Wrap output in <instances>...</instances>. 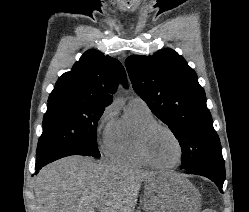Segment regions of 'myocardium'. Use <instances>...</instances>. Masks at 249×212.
Instances as JSON below:
<instances>
[{
	"label": "myocardium",
	"instance_id": "1",
	"mask_svg": "<svg viewBox=\"0 0 249 212\" xmlns=\"http://www.w3.org/2000/svg\"><path fill=\"white\" fill-rule=\"evenodd\" d=\"M158 130L167 132L169 135H171L174 140L176 141L178 147H179V159L175 164L172 165H163L154 160L152 157L150 150H149V142L151 139V136ZM139 149L142 157L144 160L151 166L156 167L158 169H175L177 168L183 161L185 150L182 141L178 137V135L167 125L153 122L150 124H147L143 129L140 131L139 134Z\"/></svg>",
	"mask_w": 249,
	"mask_h": 212
}]
</instances>
